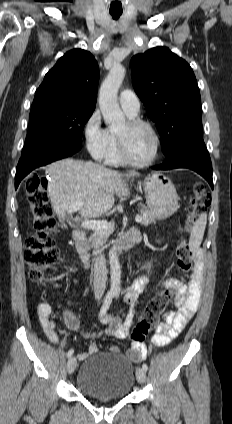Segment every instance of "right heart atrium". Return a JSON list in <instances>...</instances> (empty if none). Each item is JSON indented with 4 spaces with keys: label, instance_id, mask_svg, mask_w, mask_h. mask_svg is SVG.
I'll use <instances>...</instances> for the list:
<instances>
[{
    "label": "right heart atrium",
    "instance_id": "1",
    "mask_svg": "<svg viewBox=\"0 0 232 424\" xmlns=\"http://www.w3.org/2000/svg\"><path fill=\"white\" fill-rule=\"evenodd\" d=\"M83 138L90 155L95 159L104 158L110 148L111 139L107 129L102 126L101 116L94 111L83 126Z\"/></svg>",
    "mask_w": 232,
    "mask_h": 424
}]
</instances>
